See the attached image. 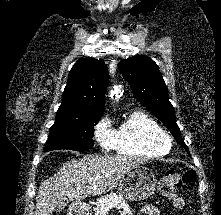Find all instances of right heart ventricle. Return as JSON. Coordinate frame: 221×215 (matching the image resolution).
I'll use <instances>...</instances> for the list:
<instances>
[{
    "label": "right heart ventricle",
    "mask_w": 221,
    "mask_h": 215,
    "mask_svg": "<svg viewBox=\"0 0 221 215\" xmlns=\"http://www.w3.org/2000/svg\"><path fill=\"white\" fill-rule=\"evenodd\" d=\"M162 129L158 121L142 110H135L115 130L113 149L121 155L157 158L166 153L150 142L153 132Z\"/></svg>",
    "instance_id": "e07e8e85"
}]
</instances>
